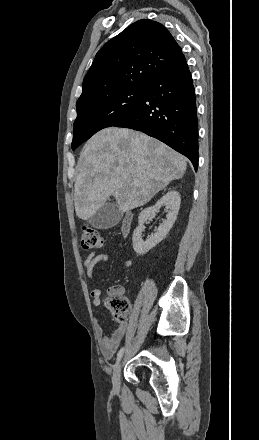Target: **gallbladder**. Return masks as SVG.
Here are the masks:
<instances>
[{
	"label": "gallbladder",
	"mask_w": 259,
	"mask_h": 440,
	"mask_svg": "<svg viewBox=\"0 0 259 440\" xmlns=\"http://www.w3.org/2000/svg\"><path fill=\"white\" fill-rule=\"evenodd\" d=\"M122 216L117 204L106 203L88 219V223L97 229H109L116 226Z\"/></svg>",
	"instance_id": "1"
}]
</instances>
